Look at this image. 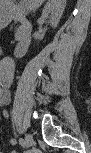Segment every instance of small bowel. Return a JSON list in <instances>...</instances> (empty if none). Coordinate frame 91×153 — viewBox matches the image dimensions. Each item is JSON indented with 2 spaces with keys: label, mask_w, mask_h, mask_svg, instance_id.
Instances as JSON below:
<instances>
[{
  "label": "small bowel",
  "mask_w": 91,
  "mask_h": 153,
  "mask_svg": "<svg viewBox=\"0 0 91 153\" xmlns=\"http://www.w3.org/2000/svg\"><path fill=\"white\" fill-rule=\"evenodd\" d=\"M13 76V64L9 59L3 58L0 62V103L2 105H7L10 102V87L13 81ZM9 143L11 145H16V138L11 137Z\"/></svg>",
  "instance_id": "c3829d8e"
}]
</instances>
